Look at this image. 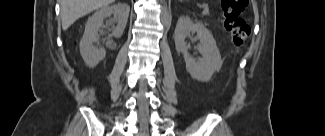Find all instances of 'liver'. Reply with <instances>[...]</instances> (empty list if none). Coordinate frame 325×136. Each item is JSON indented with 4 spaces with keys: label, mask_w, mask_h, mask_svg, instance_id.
<instances>
[{
    "label": "liver",
    "mask_w": 325,
    "mask_h": 136,
    "mask_svg": "<svg viewBox=\"0 0 325 136\" xmlns=\"http://www.w3.org/2000/svg\"><path fill=\"white\" fill-rule=\"evenodd\" d=\"M115 0H59L62 28L67 30L76 20L90 12L105 7Z\"/></svg>",
    "instance_id": "6515ba94"
}]
</instances>
